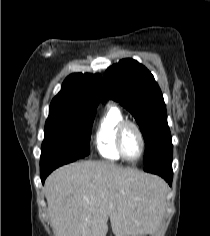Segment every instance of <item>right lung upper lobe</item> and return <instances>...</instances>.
<instances>
[{
    "label": "right lung upper lobe",
    "instance_id": "cb5924a9",
    "mask_svg": "<svg viewBox=\"0 0 210 236\" xmlns=\"http://www.w3.org/2000/svg\"><path fill=\"white\" fill-rule=\"evenodd\" d=\"M100 88V74H71L63 82L61 91L53 98L50 107L96 110Z\"/></svg>",
    "mask_w": 210,
    "mask_h": 236
}]
</instances>
